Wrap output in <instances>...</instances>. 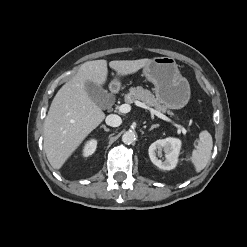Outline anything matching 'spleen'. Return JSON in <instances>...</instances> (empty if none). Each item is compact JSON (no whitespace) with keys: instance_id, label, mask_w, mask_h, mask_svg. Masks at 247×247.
Returning a JSON list of instances; mask_svg holds the SVG:
<instances>
[{"instance_id":"obj_1","label":"spleen","mask_w":247,"mask_h":247,"mask_svg":"<svg viewBox=\"0 0 247 247\" xmlns=\"http://www.w3.org/2000/svg\"><path fill=\"white\" fill-rule=\"evenodd\" d=\"M212 147L213 141L211 134L206 130L201 131L199 134L198 146L193 150L190 158L196 172H200L206 167L211 156Z\"/></svg>"}]
</instances>
